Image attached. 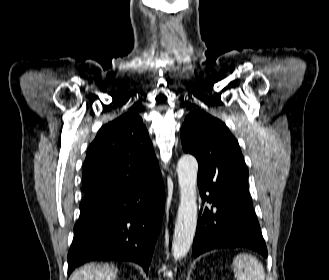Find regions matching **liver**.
I'll return each mask as SVG.
<instances>
[{
  "instance_id": "1",
  "label": "liver",
  "mask_w": 329,
  "mask_h": 280,
  "mask_svg": "<svg viewBox=\"0 0 329 280\" xmlns=\"http://www.w3.org/2000/svg\"><path fill=\"white\" fill-rule=\"evenodd\" d=\"M117 269L109 264H87L79 269L70 280H115Z\"/></svg>"
}]
</instances>
